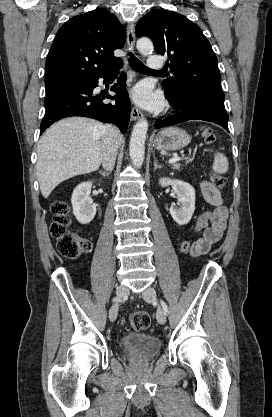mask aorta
<instances>
[{
  "mask_svg": "<svg viewBox=\"0 0 272 417\" xmlns=\"http://www.w3.org/2000/svg\"><path fill=\"white\" fill-rule=\"evenodd\" d=\"M137 49L143 55H148L153 51V43L148 38H140L137 41ZM147 130V120L141 119L135 124L131 133L129 144L130 157L133 165L137 168H140L144 161Z\"/></svg>",
  "mask_w": 272,
  "mask_h": 417,
  "instance_id": "762f6f07",
  "label": "aorta"
}]
</instances>
